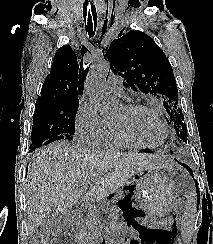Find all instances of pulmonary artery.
Wrapping results in <instances>:
<instances>
[{
    "instance_id": "1",
    "label": "pulmonary artery",
    "mask_w": 213,
    "mask_h": 244,
    "mask_svg": "<svg viewBox=\"0 0 213 244\" xmlns=\"http://www.w3.org/2000/svg\"><path fill=\"white\" fill-rule=\"evenodd\" d=\"M123 81L119 75H110L106 81V89L115 95L123 96Z\"/></svg>"
}]
</instances>
